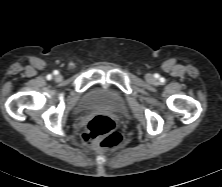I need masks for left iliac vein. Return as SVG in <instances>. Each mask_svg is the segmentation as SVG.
Wrapping results in <instances>:
<instances>
[{"label": "left iliac vein", "mask_w": 222, "mask_h": 187, "mask_svg": "<svg viewBox=\"0 0 222 187\" xmlns=\"http://www.w3.org/2000/svg\"><path fill=\"white\" fill-rule=\"evenodd\" d=\"M147 81H148V82H152V81H153V77H152L151 75H148V76H147Z\"/></svg>", "instance_id": "left-iliac-vein-1"}]
</instances>
